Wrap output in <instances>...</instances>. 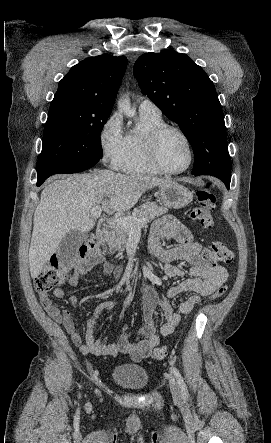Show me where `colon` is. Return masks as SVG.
Segmentation results:
<instances>
[{
  "mask_svg": "<svg viewBox=\"0 0 271 443\" xmlns=\"http://www.w3.org/2000/svg\"><path fill=\"white\" fill-rule=\"evenodd\" d=\"M197 206L190 211V219L203 228H211L214 224L213 210L216 197L210 184L203 185L196 192ZM107 249L103 242L91 240L77 251V258L81 261L97 263L106 254ZM205 258L214 264L230 263L233 253L219 241L213 242L205 252ZM69 272L59 258L53 257L42 272L35 279V289L39 294H48L51 290L62 284ZM228 290L226 285L220 286L211 296L212 300L221 298ZM168 354L166 347L155 348L151 354L156 360L164 359Z\"/></svg>",
  "mask_w": 271,
  "mask_h": 443,
  "instance_id": "1",
  "label": "colon"
}]
</instances>
